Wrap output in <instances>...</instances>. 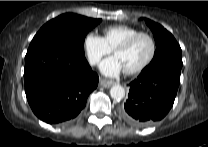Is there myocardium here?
I'll list each match as a JSON object with an SVG mask.
<instances>
[{
    "label": "myocardium",
    "mask_w": 208,
    "mask_h": 147,
    "mask_svg": "<svg viewBox=\"0 0 208 147\" xmlns=\"http://www.w3.org/2000/svg\"><path fill=\"white\" fill-rule=\"evenodd\" d=\"M142 37H146V38H148L150 40V42H151V53H150L149 57L143 63H141L139 66H137L135 68H132V69L124 70V72L126 74H128V75H134V74H137V73L142 72L144 69H146L153 62V60L155 59L156 54H157V43H156L155 38L150 33H147V32H139V33L131 36L130 38H128L127 40H125L121 44H119L114 49V54L116 52H118V51H121V50H127L138 39H140Z\"/></svg>",
    "instance_id": "obj_1"
}]
</instances>
